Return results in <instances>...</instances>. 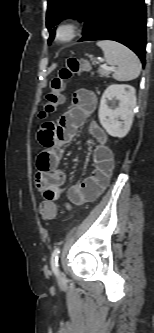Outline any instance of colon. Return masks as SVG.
I'll return each instance as SVG.
<instances>
[{
  "label": "colon",
  "instance_id": "1",
  "mask_svg": "<svg viewBox=\"0 0 154 333\" xmlns=\"http://www.w3.org/2000/svg\"><path fill=\"white\" fill-rule=\"evenodd\" d=\"M88 69V63L82 59L69 58L63 68L60 69L58 75L50 82V90L45 96V102L39 113L40 118L56 112L58 107L64 101L65 82L74 75L80 74ZM39 213L43 220L51 221L57 215V207L51 201L45 200L39 205Z\"/></svg>",
  "mask_w": 154,
  "mask_h": 333
}]
</instances>
